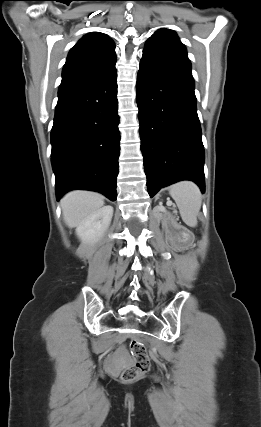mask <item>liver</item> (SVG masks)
I'll return each instance as SVG.
<instances>
[{"instance_id":"obj_1","label":"liver","mask_w":261,"mask_h":427,"mask_svg":"<svg viewBox=\"0 0 261 427\" xmlns=\"http://www.w3.org/2000/svg\"><path fill=\"white\" fill-rule=\"evenodd\" d=\"M60 204L66 224L73 228L97 212L104 205V198L95 192L75 190L67 193Z\"/></svg>"}]
</instances>
